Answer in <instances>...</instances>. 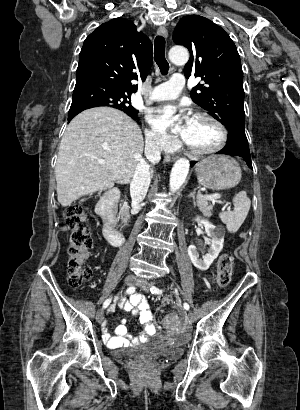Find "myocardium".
Returning a JSON list of instances; mask_svg holds the SVG:
<instances>
[{"instance_id":"1","label":"myocardium","mask_w":300,"mask_h":410,"mask_svg":"<svg viewBox=\"0 0 300 410\" xmlns=\"http://www.w3.org/2000/svg\"><path fill=\"white\" fill-rule=\"evenodd\" d=\"M194 118L206 119V120L213 122L219 128L221 132V140L215 147L210 148V149H205V150L198 149L190 145L189 143L185 142L187 149L193 154L200 155V156L214 154L222 150L226 146L228 142V138H229V132H228L226 125L217 117L209 113H206V112H198L195 114Z\"/></svg>"}]
</instances>
